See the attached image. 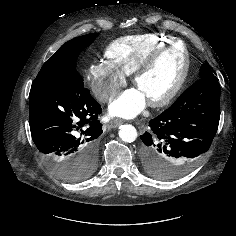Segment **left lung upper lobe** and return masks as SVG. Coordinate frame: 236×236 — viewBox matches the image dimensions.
Wrapping results in <instances>:
<instances>
[{
	"instance_id": "1",
	"label": "left lung upper lobe",
	"mask_w": 236,
	"mask_h": 236,
	"mask_svg": "<svg viewBox=\"0 0 236 236\" xmlns=\"http://www.w3.org/2000/svg\"><path fill=\"white\" fill-rule=\"evenodd\" d=\"M208 76H213V73L209 64L205 62L200 68V79Z\"/></svg>"
}]
</instances>
